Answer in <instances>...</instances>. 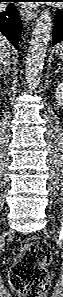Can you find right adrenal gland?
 <instances>
[{"label": "right adrenal gland", "instance_id": "right-adrenal-gland-1", "mask_svg": "<svg viewBox=\"0 0 63 297\" xmlns=\"http://www.w3.org/2000/svg\"><path fill=\"white\" fill-rule=\"evenodd\" d=\"M8 75H9V67L7 65V66H4V68L0 70V78H2V76L5 78Z\"/></svg>", "mask_w": 63, "mask_h": 297}]
</instances>
